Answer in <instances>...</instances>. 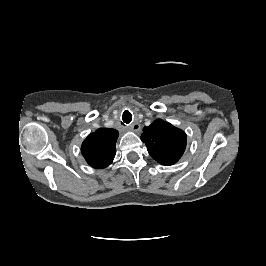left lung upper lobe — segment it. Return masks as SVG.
I'll return each instance as SVG.
<instances>
[{
    "label": "left lung upper lobe",
    "instance_id": "left-lung-upper-lobe-1",
    "mask_svg": "<svg viewBox=\"0 0 266 266\" xmlns=\"http://www.w3.org/2000/svg\"><path fill=\"white\" fill-rule=\"evenodd\" d=\"M141 140L146 143L150 156L163 165H173L186 148V134L161 119L143 128Z\"/></svg>",
    "mask_w": 266,
    "mask_h": 266
}]
</instances>
